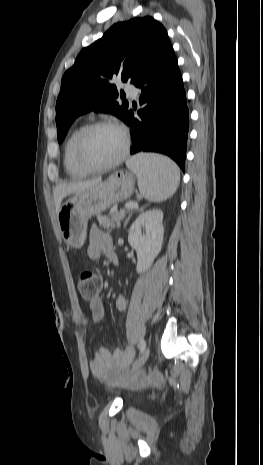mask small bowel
<instances>
[{
    "mask_svg": "<svg viewBox=\"0 0 263 465\" xmlns=\"http://www.w3.org/2000/svg\"><path fill=\"white\" fill-rule=\"evenodd\" d=\"M114 252L112 238L97 226H92L90 230L89 245L87 247V256L90 260H98L102 255L110 257ZM127 307L126 298L119 295L115 299V308L118 312H122ZM89 308L91 319L94 323L100 322L104 317V306L100 298H95L90 301ZM132 351L129 349L116 348L112 353L103 347L95 349L92 358L90 359V369L92 373L101 381L107 384H115L122 377L130 360ZM152 379L155 382L159 381L157 375H153ZM142 381V377H136L132 383Z\"/></svg>",
    "mask_w": 263,
    "mask_h": 465,
    "instance_id": "small-bowel-1",
    "label": "small bowel"
}]
</instances>
